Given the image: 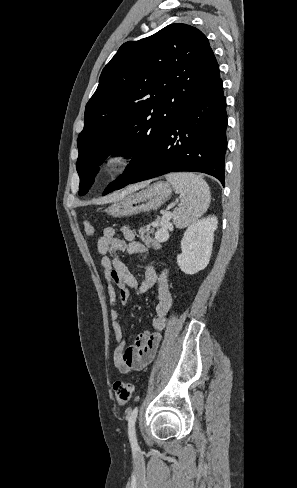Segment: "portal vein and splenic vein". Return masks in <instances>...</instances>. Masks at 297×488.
<instances>
[{"mask_svg": "<svg viewBox=\"0 0 297 488\" xmlns=\"http://www.w3.org/2000/svg\"><path fill=\"white\" fill-rule=\"evenodd\" d=\"M170 218H171V213L170 212H167V211H163L162 220L164 222V224H163L164 227L167 225V223L170 220ZM158 233L156 234V236H158Z\"/></svg>", "mask_w": 297, "mask_h": 488, "instance_id": "1", "label": "portal vein and splenic vein"}]
</instances>
